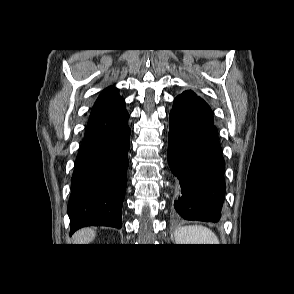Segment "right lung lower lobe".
<instances>
[{"label":"right lung lower lobe","mask_w":294,"mask_h":294,"mask_svg":"<svg viewBox=\"0 0 294 294\" xmlns=\"http://www.w3.org/2000/svg\"><path fill=\"white\" fill-rule=\"evenodd\" d=\"M124 99L94 106L72 176L71 233L85 226L121 228L130 129Z\"/></svg>","instance_id":"right-lung-lower-lobe-1"}]
</instances>
